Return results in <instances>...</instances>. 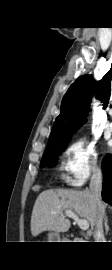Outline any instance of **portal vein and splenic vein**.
Listing matches in <instances>:
<instances>
[{
	"mask_svg": "<svg viewBox=\"0 0 112 270\" xmlns=\"http://www.w3.org/2000/svg\"><path fill=\"white\" fill-rule=\"evenodd\" d=\"M65 215L76 221L80 229L84 231L89 229V222L86 219H80L79 216L76 215L73 211H65Z\"/></svg>",
	"mask_w": 112,
	"mask_h": 270,
	"instance_id": "18ae733b",
	"label": "portal vein and splenic vein"
}]
</instances>
